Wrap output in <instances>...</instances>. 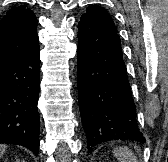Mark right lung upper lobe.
Segmentation results:
<instances>
[{
  "mask_svg": "<svg viewBox=\"0 0 168 162\" xmlns=\"http://www.w3.org/2000/svg\"><path fill=\"white\" fill-rule=\"evenodd\" d=\"M37 48L35 14L25 6L11 8L0 22V67Z\"/></svg>",
  "mask_w": 168,
  "mask_h": 162,
  "instance_id": "cb5924a9",
  "label": "right lung upper lobe"
}]
</instances>
